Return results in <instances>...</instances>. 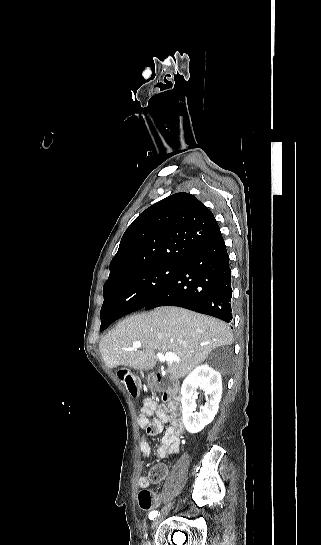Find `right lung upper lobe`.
Returning a JSON list of instances; mask_svg holds the SVG:
<instances>
[{"instance_id": "right-lung-upper-lobe-1", "label": "right lung upper lobe", "mask_w": 321, "mask_h": 545, "mask_svg": "<svg viewBox=\"0 0 321 545\" xmlns=\"http://www.w3.org/2000/svg\"><path fill=\"white\" fill-rule=\"evenodd\" d=\"M219 225L195 196L176 193L147 208L127 228L110 263L104 287L157 265H182Z\"/></svg>"}]
</instances>
